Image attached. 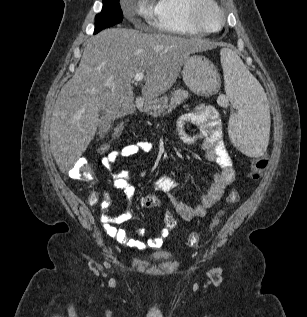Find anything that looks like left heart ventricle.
<instances>
[{"label": "left heart ventricle", "mask_w": 307, "mask_h": 317, "mask_svg": "<svg viewBox=\"0 0 307 317\" xmlns=\"http://www.w3.org/2000/svg\"><path fill=\"white\" fill-rule=\"evenodd\" d=\"M204 20L208 27L216 28L219 23V18L215 11L212 9H207L204 13Z\"/></svg>", "instance_id": "b2bd125f"}]
</instances>
